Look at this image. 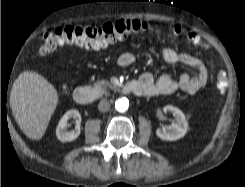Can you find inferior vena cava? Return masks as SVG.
Masks as SVG:
<instances>
[{
	"label": "inferior vena cava",
	"instance_id": "602c4592",
	"mask_svg": "<svg viewBox=\"0 0 245 187\" xmlns=\"http://www.w3.org/2000/svg\"><path fill=\"white\" fill-rule=\"evenodd\" d=\"M98 110L100 112H107L110 110V103L108 101H100V103L98 104Z\"/></svg>",
	"mask_w": 245,
	"mask_h": 187
}]
</instances>
